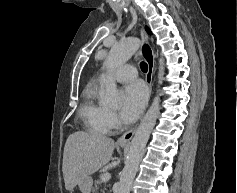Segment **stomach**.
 <instances>
[{"instance_id":"stomach-1","label":"stomach","mask_w":237,"mask_h":193,"mask_svg":"<svg viewBox=\"0 0 237 193\" xmlns=\"http://www.w3.org/2000/svg\"><path fill=\"white\" fill-rule=\"evenodd\" d=\"M93 185V179L90 176L85 177L79 184L82 193H90Z\"/></svg>"}]
</instances>
